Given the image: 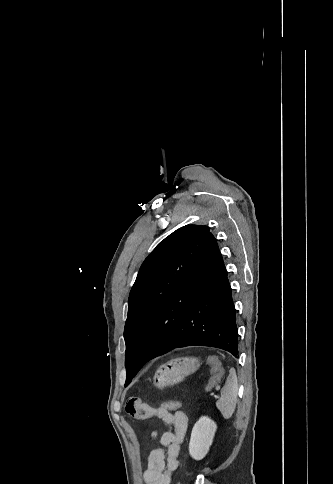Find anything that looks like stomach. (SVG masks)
I'll return each mask as SVG.
<instances>
[{
    "mask_svg": "<svg viewBox=\"0 0 333 484\" xmlns=\"http://www.w3.org/2000/svg\"><path fill=\"white\" fill-rule=\"evenodd\" d=\"M200 367L195 357H178L161 364L154 375V385L163 389L180 383L185 377L194 373Z\"/></svg>",
    "mask_w": 333,
    "mask_h": 484,
    "instance_id": "stomach-1",
    "label": "stomach"
}]
</instances>
